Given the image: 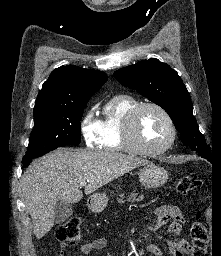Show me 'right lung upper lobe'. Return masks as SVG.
I'll return each mask as SVG.
<instances>
[{
    "label": "right lung upper lobe",
    "mask_w": 221,
    "mask_h": 256,
    "mask_svg": "<svg viewBox=\"0 0 221 256\" xmlns=\"http://www.w3.org/2000/svg\"><path fill=\"white\" fill-rule=\"evenodd\" d=\"M106 80L104 72L75 65L61 66L53 70L43 84L34 111L77 106L90 99Z\"/></svg>",
    "instance_id": "1"
}]
</instances>
